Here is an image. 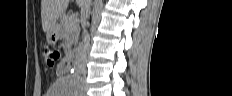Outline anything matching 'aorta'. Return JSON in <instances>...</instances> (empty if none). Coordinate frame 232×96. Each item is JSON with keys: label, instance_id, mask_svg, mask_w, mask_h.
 I'll use <instances>...</instances> for the list:
<instances>
[{"label": "aorta", "instance_id": "762f6f07", "mask_svg": "<svg viewBox=\"0 0 232 96\" xmlns=\"http://www.w3.org/2000/svg\"><path fill=\"white\" fill-rule=\"evenodd\" d=\"M76 58L78 59V61L81 60V46H79L77 48V51H76Z\"/></svg>", "mask_w": 232, "mask_h": 96}]
</instances>
